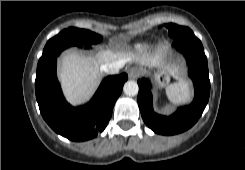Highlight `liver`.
<instances>
[{"mask_svg":"<svg viewBox=\"0 0 245 170\" xmlns=\"http://www.w3.org/2000/svg\"><path fill=\"white\" fill-rule=\"evenodd\" d=\"M166 52L158 49L153 54L122 56L112 50H101L97 54L85 55L68 51L61 59L59 79L66 99L70 103H81L90 99L99 83V68L110 63H119L121 68L128 62H139L147 67L166 64ZM179 72V68L174 69Z\"/></svg>","mask_w":245,"mask_h":170,"instance_id":"liver-1","label":"liver"}]
</instances>
